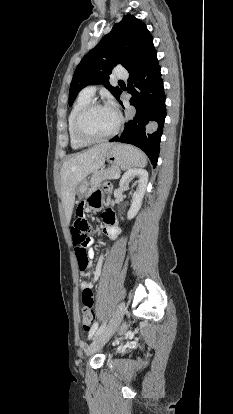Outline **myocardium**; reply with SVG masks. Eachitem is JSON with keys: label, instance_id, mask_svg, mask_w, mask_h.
Here are the masks:
<instances>
[{"label": "myocardium", "instance_id": "f54148a6", "mask_svg": "<svg viewBox=\"0 0 233 414\" xmlns=\"http://www.w3.org/2000/svg\"><path fill=\"white\" fill-rule=\"evenodd\" d=\"M100 107H109L101 102L98 101H90L88 104H86L77 114L75 121H74V125H73V131L75 134V137L84 143H98V142H103L106 141L112 137H114L120 130L121 126H122V116L119 112H117L116 110L114 111L116 113V117H117V121H116V125L113 128V130L111 132H109L106 135L100 136V137H93V136H89L87 134H85L82 131L81 128V124L82 121L84 119V117L93 109L95 108H100Z\"/></svg>", "mask_w": 233, "mask_h": 414}]
</instances>
